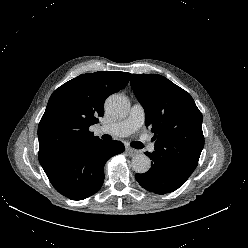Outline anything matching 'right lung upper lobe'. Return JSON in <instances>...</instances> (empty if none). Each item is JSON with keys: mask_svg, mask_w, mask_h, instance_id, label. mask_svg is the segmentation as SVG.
Segmentation results:
<instances>
[{"mask_svg": "<svg viewBox=\"0 0 248 248\" xmlns=\"http://www.w3.org/2000/svg\"><path fill=\"white\" fill-rule=\"evenodd\" d=\"M129 79L127 72L86 73L52 93L38 126V156L44 170L75 145L99 139L89 127L104 115L105 99Z\"/></svg>", "mask_w": 248, "mask_h": 248, "instance_id": "cb5924a9", "label": "right lung upper lobe"}]
</instances>
